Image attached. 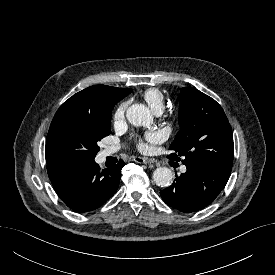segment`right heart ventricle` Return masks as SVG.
I'll use <instances>...</instances> for the list:
<instances>
[{
    "label": "right heart ventricle",
    "instance_id": "right-heart-ventricle-1",
    "mask_svg": "<svg viewBox=\"0 0 275 275\" xmlns=\"http://www.w3.org/2000/svg\"><path fill=\"white\" fill-rule=\"evenodd\" d=\"M143 99L154 111H161L165 104V97L163 93L157 88H148L143 92Z\"/></svg>",
    "mask_w": 275,
    "mask_h": 275
}]
</instances>
